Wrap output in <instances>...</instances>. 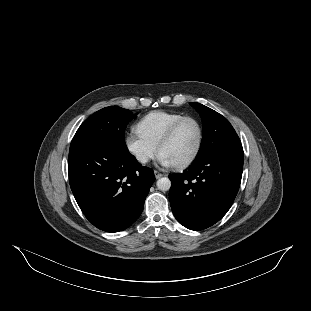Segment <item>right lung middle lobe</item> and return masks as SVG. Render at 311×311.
<instances>
[{
  "label": "right lung middle lobe",
  "instance_id": "obj_1",
  "mask_svg": "<svg viewBox=\"0 0 311 311\" xmlns=\"http://www.w3.org/2000/svg\"><path fill=\"white\" fill-rule=\"evenodd\" d=\"M134 118L136 114L118 106L103 108L81 124L72 139L70 149L90 141H104L127 148L124 131L128 122Z\"/></svg>",
  "mask_w": 311,
  "mask_h": 311
}]
</instances>
